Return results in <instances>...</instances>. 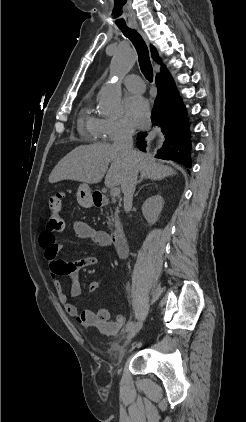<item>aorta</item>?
Wrapping results in <instances>:
<instances>
[{"label":"aorta","mask_w":246,"mask_h":422,"mask_svg":"<svg viewBox=\"0 0 246 422\" xmlns=\"http://www.w3.org/2000/svg\"><path fill=\"white\" fill-rule=\"evenodd\" d=\"M135 62L131 48H119L110 64V75L113 84L103 88L99 93L102 112L108 116H117L121 107V79L130 71Z\"/></svg>","instance_id":"762f6f07"}]
</instances>
